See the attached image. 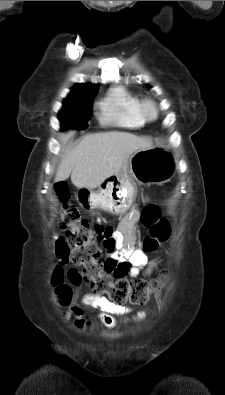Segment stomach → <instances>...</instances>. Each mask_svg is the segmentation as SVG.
Instances as JSON below:
<instances>
[{
  "label": "stomach",
  "instance_id": "1",
  "mask_svg": "<svg viewBox=\"0 0 225 395\" xmlns=\"http://www.w3.org/2000/svg\"><path fill=\"white\" fill-rule=\"evenodd\" d=\"M174 169L173 158L164 150H138L126 160L118 175L104 180L95 192L80 188L77 199L85 208H101L122 214L132 205L136 184L165 183L173 176Z\"/></svg>",
  "mask_w": 225,
  "mask_h": 395
}]
</instances>
